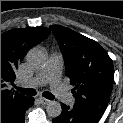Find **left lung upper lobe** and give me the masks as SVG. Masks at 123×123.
<instances>
[{"mask_svg":"<svg viewBox=\"0 0 123 123\" xmlns=\"http://www.w3.org/2000/svg\"><path fill=\"white\" fill-rule=\"evenodd\" d=\"M63 54L66 74L75 86L73 109L100 119L108 105L113 81V62L94 40L69 28L50 26Z\"/></svg>","mask_w":123,"mask_h":123,"instance_id":"obj_1","label":"left lung upper lobe"}]
</instances>
